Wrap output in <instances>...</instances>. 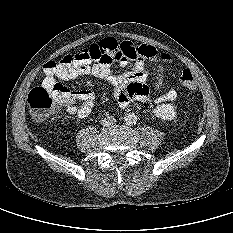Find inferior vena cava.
I'll list each match as a JSON object with an SVG mask.
<instances>
[{"label":"inferior vena cava","mask_w":233,"mask_h":233,"mask_svg":"<svg viewBox=\"0 0 233 233\" xmlns=\"http://www.w3.org/2000/svg\"><path fill=\"white\" fill-rule=\"evenodd\" d=\"M116 119L113 116H106L105 118L101 119V125L104 127H109L115 124Z\"/></svg>","instance_id":"inferior-vena-cava-1"}]
</instances>
